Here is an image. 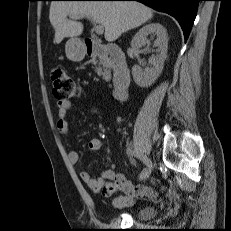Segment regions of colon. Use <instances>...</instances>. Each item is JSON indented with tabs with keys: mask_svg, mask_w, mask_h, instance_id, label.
I'll return each mask as SVG.
<instances>
[{
	"mask_svg": "<svg viewBox=\"0 0 231 231\" xmlns=\"http://www.w3.org/2000/svg\"><path fill=\"white\" fill-rule=\"evenodd\" d=\"M50 77L53 85V94L60 101H70L79 96L80 89L78 84L65 69L53 68Z\"/></svg>",
	"mask_w": 231,
	"mask_h": 231,
	"instance_id": "colon-1",
	"label": "colon"
}]
</instances>
